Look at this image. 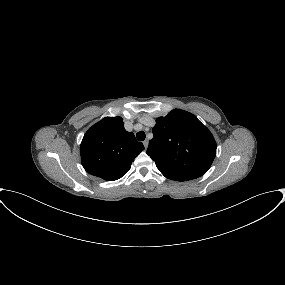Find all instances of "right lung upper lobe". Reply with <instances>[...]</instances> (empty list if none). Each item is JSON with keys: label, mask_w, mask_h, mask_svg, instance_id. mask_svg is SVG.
Returning <instances> with one entry per match:
<instances>
[{"label": "right lung upper lobe", "mask_w": 285, "mask_h": 285, "mask_svg": "<svg viewBox=\"0 0 285 285\" xmlns=\"http://www.w3.org/2000/svg\"><path fill=\"white\" fill-rule=\"evenodd\" d=\"M142 150L143 144L124 129L123 119L119 116L105 117L93 125L80 146L84 169L108 181L125 175Z\"/></svg>", "instance_id": "1"}]
</instances>
